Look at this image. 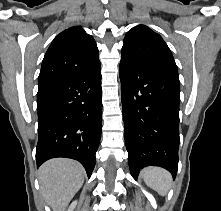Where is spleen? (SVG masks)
<instances>
[{"label":"spleen","instance_id":"3e777b00","mask_svg":"<svg viewBox=\"0 0 221 211\" xmlns=\"http://www.w3.org/2000/svg\"><path fill=\"white\" fill-rule=\"evenodd\" d=\"M145 183L160 195L164 196L171 185V175L168 171L158 167H148L142 171Z\"/></svg>","mask_w":221,"mask_h":211}]
</instances>
